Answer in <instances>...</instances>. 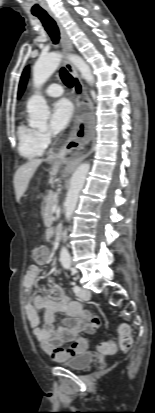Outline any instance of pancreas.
Listing matches in <instances>:
<instances>
[{
  "label": "pancreas",
  "mask_w": 155,
  "mask_h": 413,
  "mask_svg": "<svg viewBox=\"0 0 155 413\" xmlns=\"http://www.w3.org/2000/svg\"><path fill=\"white\" fill-rule=\"evenodd\" d=\"M55 203V195L53 191H49L46 200H45V223L47 225L52 224V212H53V206Z\"/></svg>",
  "instance_id": "pancreas-1"
}]
</instances>
